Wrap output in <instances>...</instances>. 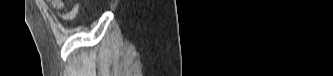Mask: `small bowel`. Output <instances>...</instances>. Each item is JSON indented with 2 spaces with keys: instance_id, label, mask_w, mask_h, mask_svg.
<instances>
[{
  "instance_id": "small-bowel-1",
  "label": "small bowel",
  "mask_w": 333,
  "mask_h": 76,
  "mask_svg": "<svg viewBox=\"0 0 333 76\" xmlns=\"http://www.w3.org/2000/svg\"><path fill=\"white\" fill-rule=\"evenodd\" d=\"M49 4L56 10L64 9V1L62 0H50ZM81 8V4L79 2H74L72 8L64 13L58 14V17L65 22H70L75 19L79 10Z\"/></svg>"
}]
</instances>
